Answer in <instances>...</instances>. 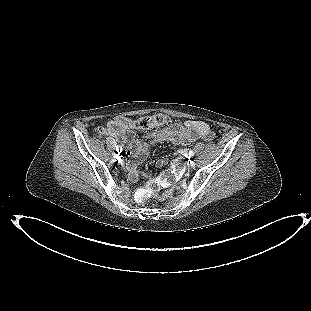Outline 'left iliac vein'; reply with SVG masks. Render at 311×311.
<instances>
[{
    "instance_id": "obj_1",
    "label": "left iliac vein",
    "mask_w": 311,
    "mask_h": 311,
    "mask_svg": "<svg viewBox=\"0 0 311 311\" xmlns=\"http://www.w3.org/2000/svg\"><path fill=\"white\" fill-rule=\"evenodd\" d=\"M188 167H189V168H194V167H195V162H194V160H190V161H189Z\"/></svg>"
}]
</instances>
